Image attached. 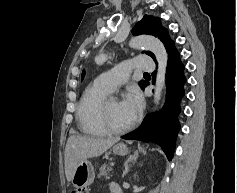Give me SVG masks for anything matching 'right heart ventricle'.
Here are the masks:
<instances>
[{
	"instance_id": "obj_1",
	"label": "right heart ventricle",
	"mask_w": 237,
	"mask_h": 193,
	"mask_svg": "<svg viewBox=\"0 0 237 193\" xmlns=\"http://www.w3.org/2000/svg\"><path fill=\"white\" fill-rule=\"evenodd\" d=\"M111 91L94 81L83 92L77 107V121L80 130L91 136H104L107 133L101 128L98 122V108L100 102Z\"/></svg>"
}]
</instances>
